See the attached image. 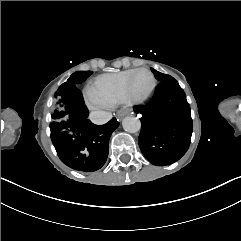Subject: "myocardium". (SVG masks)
<instances>
[{"label":"myocardium","instance_id":"myocardium-1","mask_svg":"<svg viewBox=\"0 0 241 241\" xmlns=\"http://www.w3.org/2000/svg\"><path fill=\"white\" fill-rule=\"evenodd\" d=\"M143 72H147L148 74H150V76H152L151 78H152V80H151V82H152V84H151V88H152V91L154 90V89H156V84H157V82H158V80H157V75H155L156 73H155V71H153V69H151L150 67H148V66H142V68H140V69H137V70H135L134 72H132L130 75H128V77L126 78V80H125V83H126V85L129 83V82H131L134 78H136V77H138V76H140L141 74H143ZM125 92H126V94H131V93H129L128 91H127V88H126V90H125ZM142 103L143 102H145V101H141ZM140 102V103H141ZM139 103V104H140ZM138 105V104H137Z\"/></svg>","mask_w":241,"mask_h":241}]
</instances>
